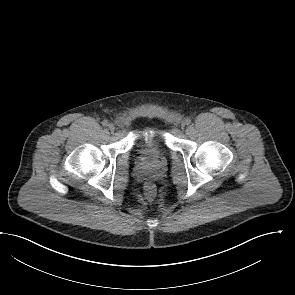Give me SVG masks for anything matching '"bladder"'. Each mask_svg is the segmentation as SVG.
Segmentation results:
<instances>
[{"label": "bladder", "instance_id": "bladder-1", "mask_svg": "<svg viewBox=\"0 0 295 295\" xmlns=\"http://www.w3.org/2000/svg\"><path fill=\"white\" fill-rule=\"evenodd\" d=\"M164 150V140L157 127L145 128L136 145V154L145 160H153Z\"/></svg>", "mask_w": 295, "mask_h": 295}]
</instances>
